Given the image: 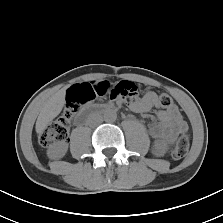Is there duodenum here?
I'll use <instances>...</instances> for the list:
<instances>
[{"label":"duodenum","mask_w":223,"mask_h":223,"mask_svg":"<svg viewBox=\"0 0 223 223\" xmlns=\"http://www.w3.org/2000/svg\"><path fill=\"white\" fill-rule=\"evenodd\" d=\"M114 109L115 106L112 104H101L95 107L87 108L86 110H84L83 114L79 118H77V122L81 124L83 122H86L89 119V117H91L95 113H98L100 111H111Z\"/></svg>","instance_id":"1"}]
</instances>
